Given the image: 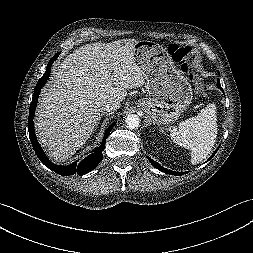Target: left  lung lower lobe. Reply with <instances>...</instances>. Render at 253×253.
I'll return each mask as SVG.
<instances>
[{
	"label": "left lung lower lobe",
	"mask_w": 253,
	"mask_h": 253,
	"mask_svg": "<svg viewBox=\"0 0 253 253\" xmlns=\"http://www.w3.org/2000/svg\"><path fill=\"white\" fill-rule=\"evenodd\" d=\"M217 87L222 90L219 79L217 80ZM216 152H217V150L212 154V156L209 159H211L215 155ZM148 159H149V161L151 162V164L155 168H157L158 170H160L162 172H165V173H168V174H171V175H184V174L187 173V172H174V171H170V170L162 167L160 164H158L157 162L153 161L152 159H150V158H148Z\"/></svg>",
	"instance_id": "obj_1"
}]
</instances>
